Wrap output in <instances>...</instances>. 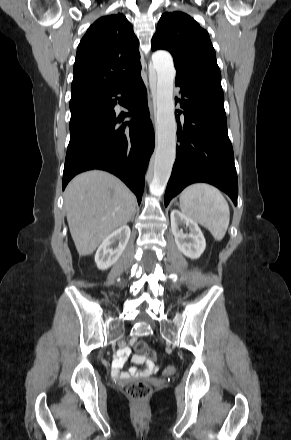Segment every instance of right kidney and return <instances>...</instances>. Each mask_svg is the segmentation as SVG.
I'll return each mask as SVG.
<instances>
[{"mask_svg": "<svg viewBox=\"0 0 291 440\" xmlns=\"http://www.w3.org/2000/svg\"><path fill=\"white\" fill-rule=\"evenodd\" d=\"M130 228L123 225L107 236L95 254L98 269L106 270L121 256L130 238Z\"/></svg>", "mask_w": 291, "mask_h": 440, "instance_id": "obj_1", "label": "right kidney"}]
</instances>
